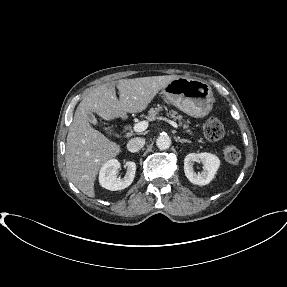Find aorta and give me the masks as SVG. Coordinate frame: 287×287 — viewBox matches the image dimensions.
<instances>
[{"label":"aorta","instance_id":"aorta-1","mask_svg":"<svg viewBox=\"0 0 287 287\" xmlns=\"http://www.w3.org/2000/svg\"><path fill=\"white\" fill-rule=\"evenodd\" d=\"M156 145L160 150H166L171 146V139L167 134H161L156 140Z\"/></svg>","mask_w":287,"mask_h":287}]
</instances>
